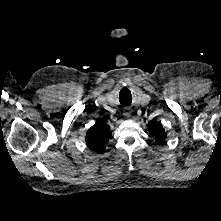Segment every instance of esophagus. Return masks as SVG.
<instances>
[{"label":"esophagus","instance_id":"obj_1","mask_svg":"<svg viewBox=\"0 0 221 221\" xmlns=\"http://www.w3.org/2000/svg\"><path fill=\"white\" fill-rule=\"evenodd\" d=\"M124 116L129 118L131 116V109L130 108H124Z\"/></svg>","mask_w":221,"mask_h":221}]
</instances>
